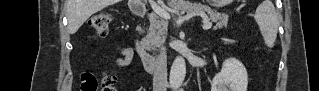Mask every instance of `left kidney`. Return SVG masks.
I'll use <instances>...</instances> for the list:
<instances>
[{
	"label": "left kidney",
	"mask_w": 319,
	"mask_h": 91,
	"mask_svg": "<svg viewBox=\"0 0 319 91\" xmlns=\"http://www.w3.org/2000/svg\"><path fill=\"white\" fill-rule=\"evenodd\" d=\"M248 74L244 65L235 58L226 59L222 70L215 75L211 91H247Z\"/></svg>",
	"instance_id": "1"
}]
</instances>
